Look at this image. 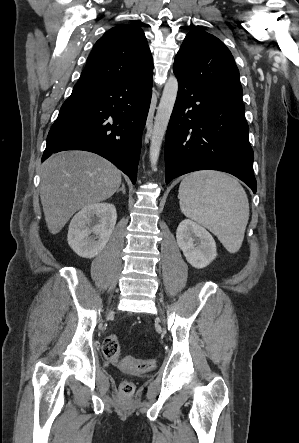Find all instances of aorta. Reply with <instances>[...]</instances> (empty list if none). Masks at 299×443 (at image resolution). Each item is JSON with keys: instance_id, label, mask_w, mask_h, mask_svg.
Returning a JSON list of instances; mask_svg holds the SVG:
<instances>
[{"instance_id": "aorta-1", "label": "aorta", "mask_w": 299, "mask_h": 443, "mask_svg": "<svg viewBox=\"0 0 299 443\" xmlns=\"http://www.w3.org/2000/svg\"><path fill=\"white\" fill-rule=\"evenodd\" d=\"M177 92H178V81L176 77L171 76L168 78L164 86L152 130L149 154H150L151 166L154 170L156 169L162 141L164 139L167 126L173 111V107L177 97Z\"/></svg>"}]
</instances>
